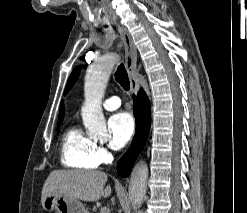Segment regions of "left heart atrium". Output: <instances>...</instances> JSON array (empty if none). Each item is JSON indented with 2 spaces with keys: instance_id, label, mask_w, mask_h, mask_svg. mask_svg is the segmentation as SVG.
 Masks as SVG:
<instances>
[{
  "instance_id": "1",
  "label": "left heart atrium",
  "mask_w": 247,
  "mask_h": 213,
  "mask_svg": "<svg viewBox=\"0 0 247 213\" xmlns=\"http://www.w3.org/2000/svg\"><path fill=\"white\" fill-rule=\"evenodd\" d=\"M108 128L111 134L110 146L113 149H120L131 139L135 130V122L131 114L118 112L110 117Z\"/></svg>"
}]
</instances>
